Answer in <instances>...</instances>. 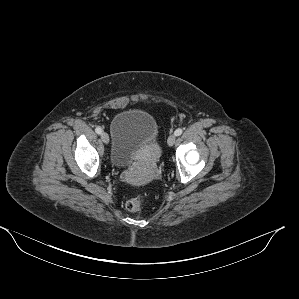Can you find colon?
Returning a JSON list of instances; mask_svg holds the SVG:
<instances>
[{
  "instance_id": "1",
  "label": "colon",
  "mask_w": 299,
  "mask_h": 299,
  "mask_svg": "<svg viewBox=\"0 0 299 299\" xmlns=\"http://www.w3.org/2000/svg\"><path fill=\"white\" fill-rule=\"evenodd\" d=\"M145 199L141 196L138 197H134L129 199L126 202V208L127 210L131 211V212H136L139 211L143 205H144Z\"/></svg>"
}]
</instances>
